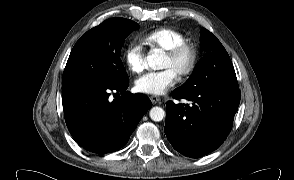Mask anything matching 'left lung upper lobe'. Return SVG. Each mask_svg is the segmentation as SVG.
Here are the masks:
<instances>
[{
    "label": "left lung upper lobe",
    "instance_id": "5c2ea615",
    "mask_svg": "<svg viewBox=\"0 0 294 180\" xmlns=\"http://www.w3.org/2000/svg\"><path fill=\"white\" fill-rule=\"evenodd\" d=\"M200 40L204 56L197 63L190 78L178 89L183 91L215 87L238 89L234 67L220 41L205 28L201 30Z\"/></svg>",
    "mask_w": 294,
    "mask_h": 180
}]
</instances>
